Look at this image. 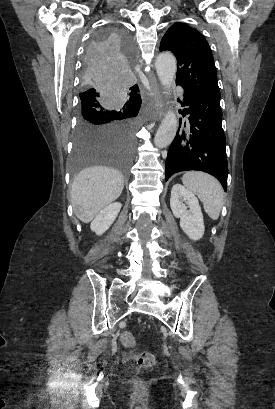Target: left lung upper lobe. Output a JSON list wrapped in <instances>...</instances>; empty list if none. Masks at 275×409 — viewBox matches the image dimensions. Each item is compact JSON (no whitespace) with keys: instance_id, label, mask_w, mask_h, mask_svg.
<instances>
[{"instance_id":"1","label":"left lung upper lobe","mask_w":275,"mask_h":409,"mask_svg":"<svg viewBox=\"0 0 275 409\" xmlns=\"http://www.w3.org/2000/svg\"><path fill=\"white\" fill-rule=\"evenodd\" d=\"M165 50L177 58V84L220 99L213 55L200 32L185 23H174L161 40L160 51Z\"/></svg>"}]
</instances>
